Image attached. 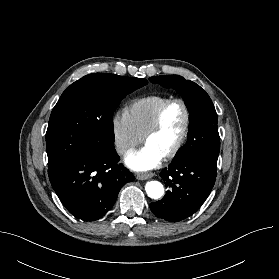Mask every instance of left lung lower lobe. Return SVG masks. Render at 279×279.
Listing matches in <instances>:
<instances>
[{
  "mask_svg": "<svg viewBox=\"0 0 279 279\" xmlns=\"http://www.w3.org/2000/svg\"><path fill=\"white\" fill-rule=\"evenodd\" d=\"M216 166L193 157L173 160L160 173L169 190L163 199L151 203L153 214L178 222L194 214L209 196L216 179Z\"/></svg>",
  "mask_w": 279,
  "mask_h": 279,
  "instance_id": "obj_1",
  "label": "left lung lower lobe"
}]
</instances>
